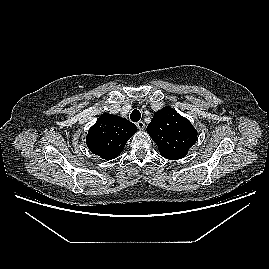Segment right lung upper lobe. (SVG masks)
Instances as JSON below:
<instances>
[{
    "label": "right lung upper lobe",
    "mask_w": 269,
    "mask_h": 269,
    "mask_svg": "<svg viewBox=\"0 0 269 269\" xmlns=\"http://www.w3.org/2000/svg\"><path fill=\"white\" fill-rule=\"evenodd\" d=\"M136 132V125L129 120L103 113L89 129L87 146L93 154L111 160L122 152L128 139Z\"/></svg>",
    "instance_id": "cb5924a9"
}]
</instances>
